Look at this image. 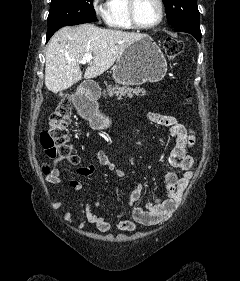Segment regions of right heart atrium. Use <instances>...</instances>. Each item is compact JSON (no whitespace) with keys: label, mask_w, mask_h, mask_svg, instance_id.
<instances>
[{"label":"right heart atrium","mask_w":240,"mask_h":281,"mask_svg":"<svg viewBox=\"0 0 240 281\" xmlns=\"http://www.w3.org/2000/svg\"><path fill=\"white\" fill-rule=\"evenodd\" d=\"M91 5L96 15L105 18L107 13V0H91Z\"/></svg>","instance_id":"obj_1"}]
</instances>
